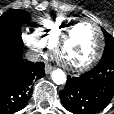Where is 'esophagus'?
I'll return each mask as SVG.
<instances>
[{"mask_svg": "<svg viewBox=\"0 0 114 114\" xmlns=\"http://www.w3.org/2000/svg\"><path fill=\"white\" fill-rule=\"evenodd\" d=\"M54 69V67L52 66V65H50V64H46L45 65V73L46 74H49V73H51V71Z\"/></svg>", "mask_w": 114, "mask_h": 114, "instance_id": "34e87169", "label": "esophagus"}]
</instances>
